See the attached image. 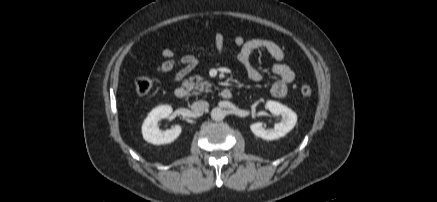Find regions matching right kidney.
<instances>
[{"label": "right kidney", "instance_id": "obj_1", "mask_svg": "<svg viewBox=\"0 0 437 202\" xmlns=\"http://www.w3.org/2000/svg\"><path fill=\"white\" fill-rule=\"evenodd\" d=\"M172 111L171 106L161 105L148 114L142 125V135L147 142L155 145L168 144L181 134L182 128L180 125H175L172 129L165 131L159 129L158 122L167 118Z\"/></svg>", "mask_w": 437, "mask_h": 202}]
</instances>
